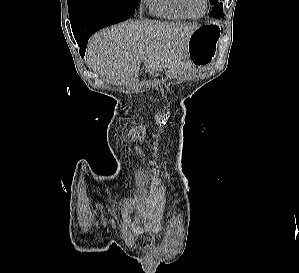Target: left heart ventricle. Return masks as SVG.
Masks as SVG:
<instances>
[{
  "instance_id": "left-heart-ventricle-1",
  "label": "left heart ventricle",
  "mask_w": 299,
  "mask_h": 273,
  "mask_svg": "<svg viewBox=\"0 0 299 273\" xmlns=\"http://www.w3.org/2000/svg\"><path fill=\"white\" fill-rule=\"evenodd\" d=\"M186 5L189 12L194 16L202 14L205 7L204 0H186Z\"/></svg>"
}]
</instances>
